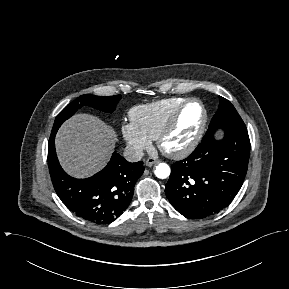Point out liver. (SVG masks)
Segmentation results:
<instances>
[{
  "mask_svg": "<svg viewBox=\"0 0 289 289\" xmlns=\"http://www.w3.org/2000/svg\"><path fill=\"white\" fill-rule=\"evenodd\" d=\"M115 140V132L102 120L76 114L60 127L55 144L62 167L70 175L83 178L106 165Z\"/></svg>",
  "mask_w": 289,
  "mask_h": 289,
  "instance_id": "6515ba94",
  "label": "liver"
}]
</instances>
